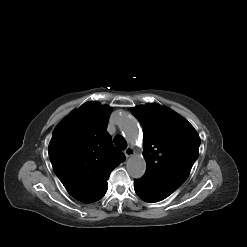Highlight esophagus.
I'll use <instances>...</instances> for the list:
<instances>
[{"label": "esophagus", "mask_w": 247, "mask_h": 247, "mask_svg": "<svg viewBox=\"0 0 247 247\" xmlns=\"http://www.w3.org/2000/svg\"><path fill=\"white\" fill-rule=\"evenodd\" d=\"M124 154L128 158V157H130V156H132L134 154V149L132 147H127L124 150Z\"/></svg>", "instance_id": "esophagus-1"}]
</instances>
